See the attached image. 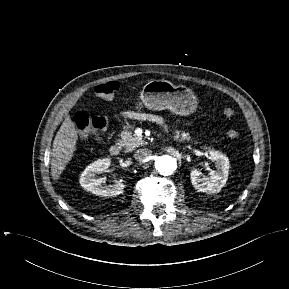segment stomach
Returning a JSON list of instances; mask_svg holds the SVG:
<instances>
[{
  "label": "stomach",
  "mask_w": 289,
  "mask_h": 289,
  "mask_svg": "<svg viewBox=\"0 0 289 289\" xmlns=\"http://www.w3.org/2000/svg\"><path fill=\"white\" fill-rule=\"evenodd\" d=\"M139 107L149 110L168 109L172 113L186 116L197 107V98L193 91L183 85L175 86L167 80H150L140 94Z\"/></svg>",
  "instance_id": "0dacf381"
}]
</instances>
